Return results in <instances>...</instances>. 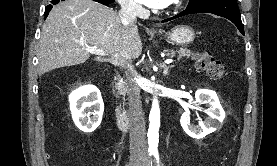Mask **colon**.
Segmentation results:
<instances>
[{"label":"colon","instance_id":"obj_1","mask_svg":"<svg viewBox=\"0 0 277 166\" xmlns=\"http://www.w3.org/2000/svg\"><path fill=\"white\" fill-rule=\"evenodd\" d=\"M195 64L213 78H220L226 72V64L216 59L209 51L198 52L194 56Z\"/></svg>","mask_w":277,"mask_h":166}]
</instances>
